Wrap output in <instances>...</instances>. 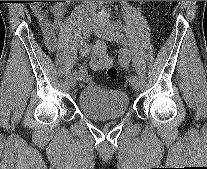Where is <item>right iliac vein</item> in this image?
<instances>
[{
  "mask_svg": "<svg viewBox=\"0 0 207 169\" xmlns=\"http://www.w3.org/2000/svg\"><path fill=\"white\" fill-rule=\"evenodd\" d=\"M92 26H93V24H92L91 20H86L83 23V34H84L85 38H88L90 36V33L92 31ZM76 81H77V78L75 76H73V75L69 76L68 82H69V85L71 88L75 87Z\"/></svg>",
  "mask_w": 207,
  "mask_h": 169,
  "instance_id": "63e3f726",
  "label": "right iliac vein"
}]
</instances>
